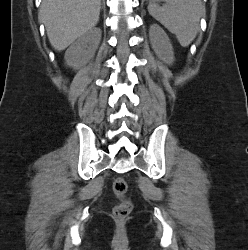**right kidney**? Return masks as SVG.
<instances>
[{
	"label": "right kidney",
	"mask_w": 248,
	"mask_h": 250,
	"mask_svg": "<svg viewBox=\"0 0 248 250\" xmlns=\"http://www.w3.org/2000/svg\"><path fill=\"white\" fill-rule=\"evenodd\" d=\"M100 39V29H94L79 37L65 53L67 66L76 70L85 66L94 57Z\"/></svg>",
	"instance_id": "1"
}]
</instances>
